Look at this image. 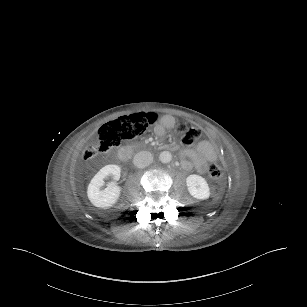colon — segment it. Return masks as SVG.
Returning a JSON list of instances; mask_svg holds the SVG:
<instances>
[{
  "mask_svg": "<svg viewBox=\"0 0 307 307\" xmlns=\"http://www.w3.org/2000/svg\"><path fill=\"white\" fill-rule=\"evenodd\" d=\"M157 120L155 113H137L120 117L103 124L99 129L98 140L85 147L83 159L109 153V151L125 141H131L146 132ZM177 136L185 146H193L201 136L200 129L186 122L177 125ZM208 176L218 181L223 176V170L217 164L208 167Z\"/></svg>",
  "mask_w": 307,
  "mask_h": 307,
  "instance_id": "1",
  "label": "colon"
}]
</instances>
